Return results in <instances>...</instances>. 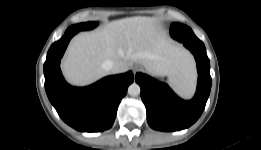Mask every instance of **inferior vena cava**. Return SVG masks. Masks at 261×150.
<instances>
[{
  "label": "inferior vena cava",
  "mask_w": 261,
  "mask_h": 150,
  "mask_svg": "<svg viewBox=\"0 0 261 150\" xmlns=\"http://www.w3.org/2000/svg\"><path fill=\"white\" fill-rule=\"evenodd\" d=\"M105 68L111 71L112 73H122L128 69L126 63L122 61L112 62L108 61L105 63Z\"/></svg>",
  "instance_id": "obj_1"
}]
</instances>
